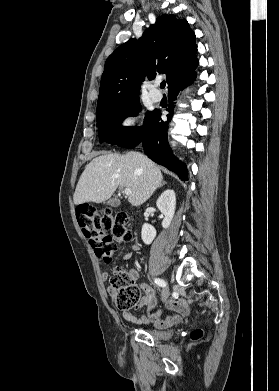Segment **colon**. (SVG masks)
Returning <instances> with one entry per match:
<instances>
[{
    "label": "colon",
    "instance_id": "colon-1",
    "mask_svg": "<svg viewBox=\"0 0 279 391\" xmlns=\"http://www.w3.org/2000/svg\"><path fill=\"white\" fill-rule=\"evenodd\" d=\"M128 220V215L123 211L113 213L107 210L99 214L93 207L87 206L77 212V221L84 236L88 239L95 255L105 263L111 262L116 253V241L131 239V232L127 228ZM110 283L119 309L128 310L138 305L141 298L140 290L128 273L115 269ZM202 336L203 331L200 329L191 333L193 341L199 340Z\"/></svg>",
    "mask_w": 279,
    "mask_h": 391
}]
</instances>
